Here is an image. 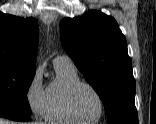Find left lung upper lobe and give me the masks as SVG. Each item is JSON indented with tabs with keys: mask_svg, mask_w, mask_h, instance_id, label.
<instances>
[{
	"mask_svg": "<svg viewBox=\"0 0 156 124\" xmlns=\"http://www.w3.org/2000/svg\"><path fill=\"white\" fill-rule=\"evenodd\" d=\"M64 49L100 96L108 124H138L125 36L113 17L91 11L60 22Z\"/></svg>",
	"mask_w": 156,
	"mask_h": 124,
	"instance_id": "5c2ea615",
	"label": "left lung upper lobe"
}]
</instances>
